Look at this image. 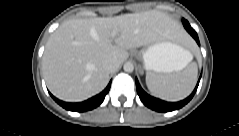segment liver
<instances>
[{
	"mask_svg": "<svg viewBox=\"0 0 239 136\" xmlns=\"http://www.w3.org/2000/svg\"><path fill=\"white\" fill-rule=\"evenodd\" d=\"M182 38L180 24L155 10L68 20L48 39L42 59L44 78L57 98L83 101L108 84L111 72L103 68L104 60L116 59L122 64L130 49Z\"/></svg>",
	"mask_w": 239,
	"mask_h": 136,
	"instance_id": "1",
	"label": "liver"
}]
</instances>
